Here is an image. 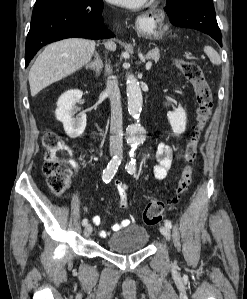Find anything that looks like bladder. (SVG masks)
Here are the masks:
<instances>
[{
	"label": "bladder",
	"mask_w": 247,
	"mask_h": 299,
	"mask_svg": "<svg viewBox=\"0 0 247 299\" xmlns=\"http://www.w3.org/2000/svg\"><path fill=\"white\" fill-rule=\"evenodd\" d=\"M149 233L143 226L131 224L112 234L106 241L108 250L115 253H131L146 247Z\"/></svg>",
	"instance_id": "obj_1"
}]
</instances>
